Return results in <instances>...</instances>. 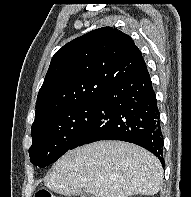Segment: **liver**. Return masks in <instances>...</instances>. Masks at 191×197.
<instances>
[{"instance_id":"obj_1","label":"liver","mask_w":191,"mask_h":197,"mask_svg":"<svg viewBox=\"0 0 191 197\" xmlns=\"http://www.w3.org/2000/svg\"><path fill=\"white\" fill-rule=\"evenodd\" d=\"M162 182L161 163L152 153L132 143L109 140L68 151L44 178L47 188L65 196L83 190L95 197L153 196Z\"/></svg>"}]
</instances>
